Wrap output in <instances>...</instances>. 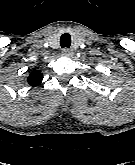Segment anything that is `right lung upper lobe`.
I'll return each mask as SVG.
<instances>
[{"instance_id": "cb5924a9", "label": "right lung upper lobe", "mask_w": 135, "mask_h": 165, "mask_svg": "<svg viewBox=\"0 0 135 165\" xmlns=\"http://www.w3.org/2000/svg\"><path fill=\"white\" fill-rule=\"evenodd\" d=\"M42 79H43V75H42L41 71L34 70L29 74V76L27 78V82L31 86H38L42 82Z\"/></svg>"}]
</instances>
